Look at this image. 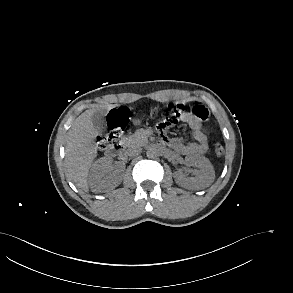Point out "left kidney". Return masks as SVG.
<instances>
[{"mask_svg":"<svg viewBox=\"0 0 293 293\" xmlns=\"http://www.w3.org/2000/svg\"><path fill=\"white\" fill-rule=\"evenodd\" d=\"M186 163L196 168L195 177L189 179L180 171L174 173L175 181L178 185L192 186L194 189H202L211 185L215 178L214 168L211 162L204 156H189Z\"/></svg>","mask_w":293,"mask_h":293,"instance_id":"left-kidney-1","label":"left kidney"}]
</instances>
